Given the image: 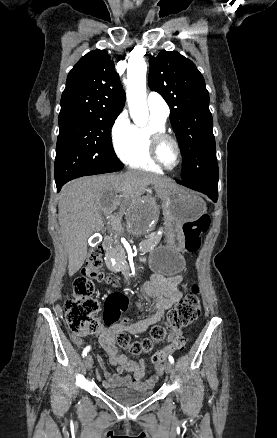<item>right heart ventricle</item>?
<instances>
[{
  "label": "right heart ventricle",
  "instance_id": "obj_1",
  "mask_svg": "<svg viewBox=\"0 0 277 438\" xmlns=\"http://www.w3.org/2000/svg\"><path fill=\"white\" fill-rule=\"evenodd\" d=\"M151 129L164 131L165 121L154 118L150 115L148 126L143 128L138 125H131L129 140L120 150H118V153L121 160L130 169L162 173V170L152 160L149 151L147 135Z\"/></svg>",
  "mask_w": 277,
  "mask_h": 438
}]
</instances>
